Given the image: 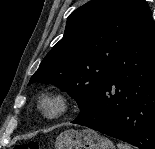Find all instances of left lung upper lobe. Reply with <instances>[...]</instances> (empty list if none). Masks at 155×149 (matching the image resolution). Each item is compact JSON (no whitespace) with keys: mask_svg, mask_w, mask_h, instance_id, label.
<instances>
[{"mask_svg":"<svg viewBox=\"0 0 155 149\" xmlns=\"http://www.w3.org/2000/svg\"><path fill=\"white\" fill-rule=\"evenodd\" d=\"M150 10L144 0H91L67 19L63 38L29 81L53 84L76 98L80 110L106 79L114 60Z\"/></svg>","mask_w":155,"mask_h":149,"instance_id":"left-lung-upper-lobe-1","label":"left lung upper lobe"}]
</instances>
